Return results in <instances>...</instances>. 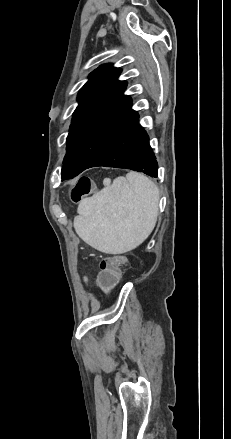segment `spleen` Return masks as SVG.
<instances>
[{"label":"spleen","mask_w":231,"mask_h":439,"mask_svg":"<svg viewBox=\"0 0 231 439\" xmlns=\"http://www.w3.org/2000/svg\"><path fill=\"white\" fill-rule=\"evenodd\" d=\"M158 202L157 186L145 175L130 172L81 200L74 228L97 250L122 254L151 234L157 222Z\"/></svg>","instance_id":"spleen-1"}]
</instances>
